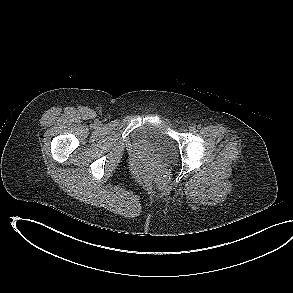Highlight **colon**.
<instances>
[{
    "instance_id": "colon-1",
    "label": "colon",
    "mask_w": 293,
    "mask_h": 293,
    "mask_svg": "<svg viewBox=\"0 0 293 293\" xmlns=\"http://www.w3.org/2000/svg\"><path fill=\"white\" fill-rule=\"evenodd\" d=\"M139 175L143 182H149L153 178L154 172L150 166H144L140 169Z\"/></svg>"
}]
</instances>
